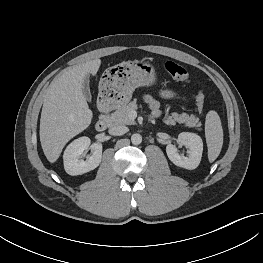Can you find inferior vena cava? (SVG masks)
Returning a JSON list of instances; mask_svg holds the SVG:
<instances>
[{
  "label": "inferior vena cava",
  "mask_w": 263,
  "mask_h": 263,
  "mask_svg": "<svg viewBox=\"0 0 263 263\" xmlns=\"http://www.w3.org/2000/svg\"><path fill=\"white\" fill-rule=\"evenodd\" d=\"M128 127H126V126H123V125H114V126H112L109 130H108V132H109V134H111V135H123V134H125V133H127L128 132Z\"/></svg>",
  "instance_id": "inferior-vena-cava-1"
}]
</instances>
